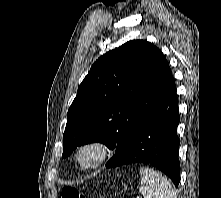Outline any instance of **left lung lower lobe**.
I'll return each mask as SVG.
<instances>
[{"label": "left lung lower lobe", "mask_w": 221, "mask_h": 198, "mask_svg": "<svg viewBox=\"0 0 221 198\" xmlns=\"http://www.w3.org/2000/svg\"><path fill=\"white\" fill-rule=\"evenodd\" d=\"M179 119L176 86L171 75L161 97L136 126L122 148L107 162L106 167L149 164L163 171L178 186Z\"/></svg>", "instance_id": "1"}]
</instances>
